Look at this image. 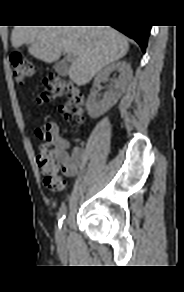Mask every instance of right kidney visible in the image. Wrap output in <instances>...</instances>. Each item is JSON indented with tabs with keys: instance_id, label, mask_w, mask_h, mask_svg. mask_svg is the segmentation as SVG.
<instances>
[{
	"instance_id": "ca27d5eb",
	"label": "right kidney",
	"mask_w": 184,
	"mask_h": 292,
	"mask_svg": "<svg viewBox=\"0 0 184 292\" xmlns=\"http://www.w3.org/2000/svg\"><path fill=\"white\" fill-rule=\"evenodd\" d=\"M119 72L118 78L114 79L104 94L103 99L96 101L95 88L100 86L102 81H107L112 72ZM132 78V69L126 61H114L102 69L96 76L93 88L88 96L86 108L92 118H97L106 113L125 92L128 82Z\"/></svg>"
}]
</instances>
